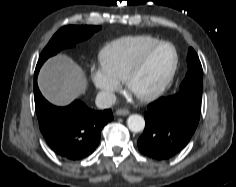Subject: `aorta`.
<instances>
[{"label":"aorta","mask_w":236,"mask_h":187,"mask_svg":"<svg viewBox=\"0 0 236 187\" xmlns=\"http://www.w3.org/2000/svg\"><path fill=\"white\" fill-rule=\"evenodd\" d=\"M127 126L132 132H140L145 127V120L141 115L133 114L127 119Z\"/></svg>","instance_id":"aorta-1"}]
</instances>
